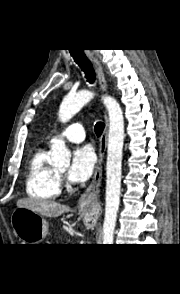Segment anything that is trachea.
<instances>
[{"label":"trachea","instance_id":"3493384b","mask_svg":"<svg viewBox=\"0 0 180 294\" xmlns=\"http://www.w3.org/2000/svg\"><path fill=\"white\" fill-rule=\"evenodd\" d=\"M71 56L74 58L75 62L80 66L82 71L85 72V77L89 83H93L95 81V73L92 67L91 62L86 58L82 49H76L74 51H70ZM104 123L97 122L95 124V133L97 136H100L104 130Z\"/></svg>","mask_w":180,"mask_h":294}]
</instances>
